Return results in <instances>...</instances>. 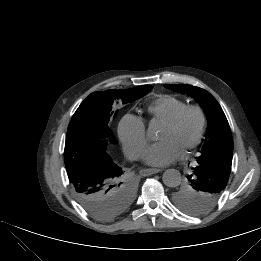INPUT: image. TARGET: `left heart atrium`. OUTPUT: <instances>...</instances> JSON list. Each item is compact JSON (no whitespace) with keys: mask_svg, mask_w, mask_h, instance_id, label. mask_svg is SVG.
I'll use <instances>...</instances> for the list:
<instances>
[{"mask_svg":"<svg viewBox=\"0 0 261 261\" xmlns=\"http://www.w3.org/2000/svg\"><path fill=\"white\" fill-rule=\"evenodd\" d=\"M181 147L173 139H164L152 144L144 154V160L151 166H166L181 154Z\"/></svg>","mask_w":261,"mask_h":261,"instance_id":"left-heart-atrium-1","label":"left heart atrium"}]
</instances>
